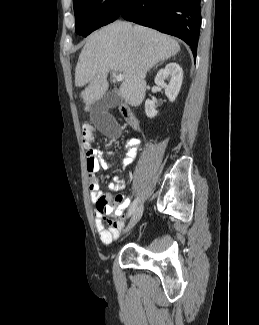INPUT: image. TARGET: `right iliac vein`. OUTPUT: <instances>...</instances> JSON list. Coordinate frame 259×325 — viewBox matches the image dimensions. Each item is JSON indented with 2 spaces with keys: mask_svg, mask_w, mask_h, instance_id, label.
<instances>
[{
  "mask_svg": "<svg viewBox=\"0 0 259 325\" xmlns=\"http://www.w3.org/2000/svg\"><path fill=\"white\" fill-rule=\"evenodd\" d=\"M143 214V204L141 203L133 212V215L129 221V224L127 225L126 229L124 232H128L132 227L136 225V223L140 220Z\"/></svg>",
  "mask_w": 259,
  "mask_h": 325,
  "instance_id": "63e3f726",
  "label": "right iliac vein"
}]
</instances>
